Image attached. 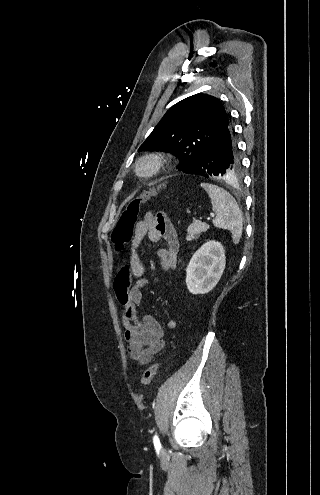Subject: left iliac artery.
I'll list each match as a JSON object with an SVG mask.
<instances>
[{"instance_id": "obj_1", "label": "left iliac artery", "mask_w": 320, "mask_h": 495, "mask_svg": "<svg viewBox=\"0 0 320 495\" xmlns=\"http://www.w3.org/2000/svg\"><path fill=\"white\" fill-rule=\"evenodd\" d=\"M153 443H154V446L156 448H160L161 447L160 440H159V438H158L157 435H154V437H153Z\"/></svg>"}]
</instances>
